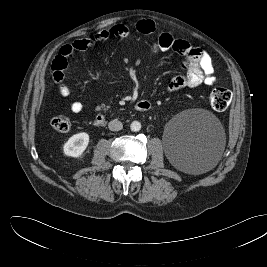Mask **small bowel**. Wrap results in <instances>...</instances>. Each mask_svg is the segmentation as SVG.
I'll list each match as a JSON object with an SVG mask.
<instances>
[{"label": "small bowel", "instance_id": "small-bowel-1", "mask_svg": "<svg viewBox=\"0 0 267 267\" xmlns=\"http://www.w3.org/2000/svg\"><path fill=\"white\" fill-rule=\"evenodd\" d=\"M136 30L143 35L151 34L155 31V23L149 19L137 22ZM129 29L126 25L116 24L109 29L101 30L89 37L75 40L71 44L60 48L55 57L51 74L54 82L58 85L61 96L70 95L69 87L64 83V70L68 60L77 51H84L90 47L110 39H123L128 37ZM153 52L172 51L183 57V73L174 77L168 84L169 91H177L183 88H194L200 85L212 86L216 78L214 77V67L211 57L201 47L192 45L185 40L176 39L169 33H162L151 47ZM74 113L85 112V107L80 101H73L70 104Z\"/></svg>", "mask_w": 267, "mask_h": 267}]
</instances>
